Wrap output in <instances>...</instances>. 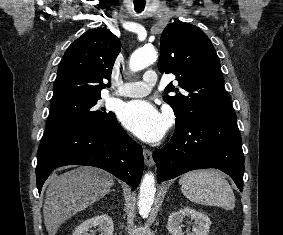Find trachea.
<instances>
[{
    "instance_id": "3493384b",
    "label": "trachea",
    "mask_w": 283,
    "mask_h": 235,
    "mask_svg": "<svg viewBox=\"0 0 283 235\" xmlns=\"http://www.w3.org/2000/svg\"><path fill=\"white\" fill-rule=\"evenodd\" d=\"M145 8V3H138V2H135L134 3V9L137 13H141Z\"/></svg>"
}]
</instances>
